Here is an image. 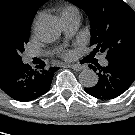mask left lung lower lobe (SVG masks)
I'll use <instances>...</instances> for the list:
<instances>
[{
	"label": "left lung lower lobe",
	"instance_id": "0a47b994",
	"mask_svg": "<svg viewBox=\"0 0 135 135\" xmlns=\"http://www.w3.org/2000/svg\"><path fill=\"white\" fill-rule=\"evenodd\" d=\"M89 65L98 73V83L84 89L89 95L103 100L114 99L123 94L135 80V65L110 59L105 67Z\"/></svg>",
	"mask_w": 135,
	"mask_h": 135
}]
</instances>
